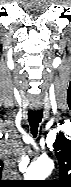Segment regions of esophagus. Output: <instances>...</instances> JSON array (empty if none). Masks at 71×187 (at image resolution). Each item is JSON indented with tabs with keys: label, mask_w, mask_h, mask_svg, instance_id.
<instances>
[{
	"label": "esophagus",
	"mask_w": 71,
	"mask_h": 187,
	"mask_svg": "<svg viewBox=\"0 0 71 187\" xmlns=\"http://www.w3.org/2000/svg\"><path fill=\"white\" fill-rule=\"evenodd\" d=\"M32 108H33L34 110H38V109L40 108V106H39V105H33Z\"/></svg>",
	"instance_id": "34e87169"
}]
</instances>
